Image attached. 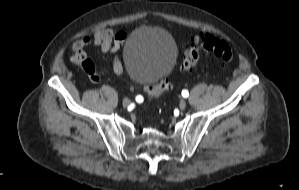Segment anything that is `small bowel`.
Segmentation results:
<instances>
[{
	"label": "small bowel",
	"mask_w": 299,
	"mask_h": 190,
	"mask_svg": "<svg viewBox=\"0 0 299 190\" xmlns=\"http://www.w3.org/2000/svg\"><path fill=\"white\" fill-rule=\"evenodd\" d=\"M127 39L125 31H114L111 28L105 27L97 30L94 34L88 35L80 39L74 44L75 49H82L87 46H95L101 49L103 53L112 54L111 65L116 74H122L124 67L115 53L122 47ZM94 82L99 81L97 72L89 75Z\"/></svg>",
	"instance_id": "obj_1"
}]
</instances>
